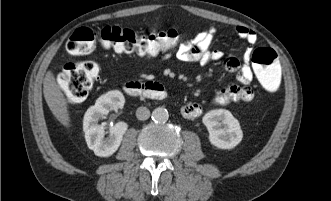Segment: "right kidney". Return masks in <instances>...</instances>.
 <instances>
[{
  "mask_svg": "<svg viewBox=\"0 0 331 201\" xmlns=\"http://www.w3.org/2000/svg\"><path fill=\"white\" fill-rule=\"evenodd\" d=\"M125 99L118 90L109 91L100 96L94 106H91L85 113L83 119V131L89 149L100 157H109L119 148L123 135L127 131V123L120 121L109 127V135L105 138L104 125L98 121L112 110L123 108Z\"/></svg>",
  "mask_w": 331,
  "mask_h": 201,
  "instance_id": "obj_1",
  "label": "right kidney"
}]
</instances>
